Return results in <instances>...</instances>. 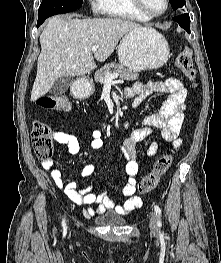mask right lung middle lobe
<instances>
[{
    "label": "right lung middle lobe",
    "mask_w": 221,
    "mask_h": 263,
    "mask_svg": "<svg viewBox=\"0 0 221 263\" xmlns=\"http://www.w3.org/2000/svg\"><path fill=\"white\" fill-rule=\"evenodd\" d=\"M82 3L83 0H42L38 10V19L74 11L80 8Z\"/></svg>",
    "instance_id": "1"
}]
</instances>
